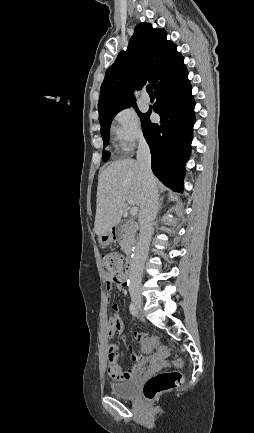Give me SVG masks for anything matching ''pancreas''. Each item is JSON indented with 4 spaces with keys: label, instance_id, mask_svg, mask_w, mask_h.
Wrapping results in <instances>:
<instances>
[{
    "label": "pancreas",
    "instance_id": "1",
    "mask_svg": "<svg viewBox=\"0 0 254 433\" xmlns=\"http://www.w3.org/2000/svg\"><path fill=\"white\" fill-rule=\"evenodd\" d=\"M134 242V233L131 232L130 234L126 235L122 241L120 242V245L122 247H126L128 243Z\"/></svg>",
    "mask_w": 254,
    "mask_h": 433
}]
</instances>
